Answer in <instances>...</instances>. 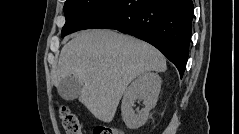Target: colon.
<instances>
[{
	"label": "colon",
	"instance_id": "5ec220e1",
	"mask_svg": "<svg viewBox=\"0 0 239 134\" xmlns=\"http://www.w3.org/2000/svg\"><path fill=\"white\" fill-rule=\"evenodd\" d=\"M59 115L68 134L81 133L78 117L69 107L59 106ZM93 134H123V132L112 127L98 126L94 129Z\"/></svg>",
	"mask_w": 239,
	"mask_h": 134
}]
</instances>
